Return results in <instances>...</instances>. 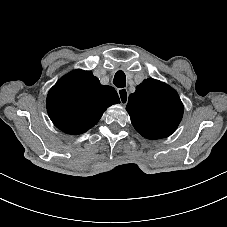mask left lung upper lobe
<instances>
[{
    "mask_svg": "<svg viewBox=\"0 0 227 227\" xmlns=\"http://www.w3.org/2000/svg\"><path fill=\"white\" fill-rule=\"evenodd\" d=\"M126 110L134 128L151 140L171 135L183 116V104L177 92L153 78L143 81L130 94Z\"/></svg>",
    "mask_w": 227,
    "mask_h": 227,
    "instance_id": "1",
    "label": "left lung upper lobe"
}]
</instances>
